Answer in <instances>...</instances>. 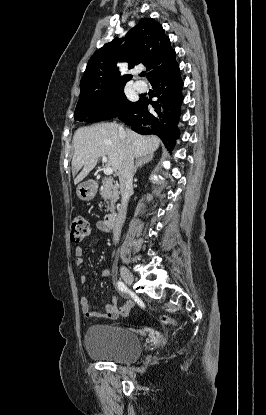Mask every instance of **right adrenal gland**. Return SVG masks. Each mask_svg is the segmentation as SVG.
I'll list each match as a JSON object with an SVG mask.
<instances>
[{
    "instance_id": "obj_1",
    "label": "right adrenal gland",
    "mask_w": 266,
    "mask_h": 415,
    "mask_svg": "<svg viewBox=\"0 0 266 415\" xmlns=\"http://www.w3.org/2000/svg\"><path fill=\"white\" fill-rule=\"evenodd\" d=\"M152 159H153V154H149L147 156L137 158L136 159V162H135V167H134L133 175L136 174L137 169L139 167H142L143 165L149 163L150 161H152Z\"/></svg>"
}]
</instances>
